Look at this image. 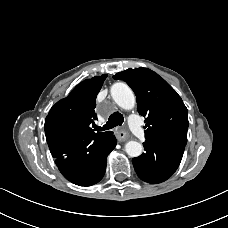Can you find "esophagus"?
<instances>
[{
	"instance_id": "esophagus-1",
	"label": "esophagus",
	"mask_w": 228,
	"mask_h": 228,
	"mask_svg": "<svg viewBox=\"0 0 228 228\" xmlns=\"http://www.w3.org/2000/svg\"><path fill=\"white\" fill-rule=\"evenodd\" d=\"M127 138H128V133L125 130L119 129L117 131V139L119 142H123L127 140Z\"/></svg>"
}]
</instances>
